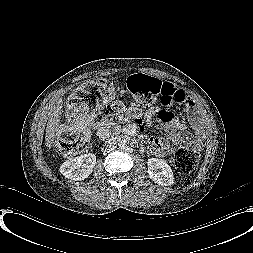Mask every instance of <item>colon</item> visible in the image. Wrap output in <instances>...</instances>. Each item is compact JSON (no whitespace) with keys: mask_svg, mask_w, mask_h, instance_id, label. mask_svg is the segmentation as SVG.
I'll return each mask as SVG.
<instances>
[{"mask_svg":"<svg viewBox=\"0 0 253 253\" xmlns=\"http://www.w3.org/2000/svg\"><path fill=\"white\" fill-rule=\"evenodd\" d=\"M130 94L142 104L177 102L173 84L156 77L136 73L127 78ZM115 87L108 80L100 79L83 83L69 98L66 107V123L58 130L56 148L62 155L83 152L89 142L87 122L97 111L115 96ZM198 163L196 151L181 147L174 154V165L180 174L193 171Z\"/></svg>","mask_w":253,"mask_h":253,"instance_id":"1","label":"colon"}]
</instances>
